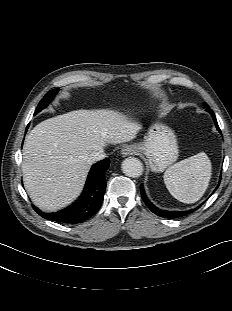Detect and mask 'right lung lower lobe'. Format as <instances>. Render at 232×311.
<instances>
[{
    "mask_svg": "<svg viewBox=\"0 0 232 311\" xmlns=\"http://www.w3.org/2000/svg\"><path fill=\"white\" fill-rule=\"evenodd\" d=\"M109 165L110 160L106 158L92 166L82 195L69 207L56 213H44L33 206L35 211L45 219L60 223L77 224L87 220L99 210L103 202L106 188L105 172Z\"/></svg>",
    "mask_w": 232,
    "mask_h": 311,
    "instance_id": "right-lung-lower-lobe-1",
    "label": "right lung lower lobe"
}]
</instances>
